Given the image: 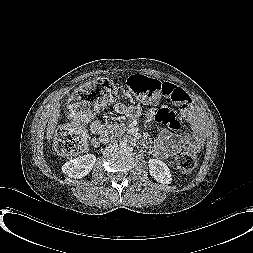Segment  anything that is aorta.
Returning a JSON list of instances; mask_svg holds the SVG:
<instances>
[{"label": "aorta", "mask_w": 253, "mask_h": 253, "mask_svg": "<svg viewBox=\"0 0 253 253\" xmlns=\"http://www.w3.org/2000/svg\"><path fill=\"white\" fill-rule=\"evenodd\" d=\"M118 145H119V148H120V149H125L127 144H126L125 141L122 140V141L119 142Z\"/></svg>", "instance_id": "762f6f07"}]
</instances>
